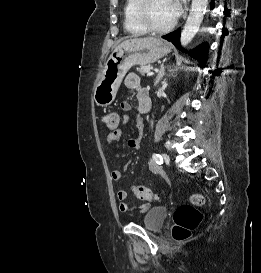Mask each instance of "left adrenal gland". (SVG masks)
<instances>
[{"instance_id": "a2214340", "label": "left adrenal gland", "mask_w": 261, "mask_h": 273, "mask_svg": "<svg viewBox=\"0 0 261 273\" xmlns=\"http://www.w3.org/2000/svg\"><path fill=\"white\" fill-rule=\"evenodd\" d=\"M164 75H165V67L162 65L160 67L158 75H157V77L155 79V83H154L155 86H157V84L162 80V78L164 77Z\"/></svg>"}]
</instances>
